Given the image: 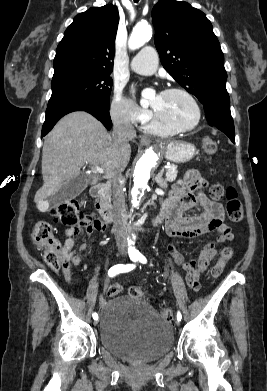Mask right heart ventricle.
<instances>
[{"instance_id":"right-heart-ventricle-1","label":"right heart ventricle","mask_w":267,"mask_h":391,"mask_svg":"<svg viewBox=\"0 0 267 391\" xmlns=\"http://www.w3.org/2000/svg\"><path fill=\"white\" fill-rule=\"evenodd\" d=\"M148 129L151 132L156 133V134L161 135V136H168V135L173 134L171 131H168V130H165L163 128H160V127L156 126L154 123L149 125Z\"/></svg>"}]
</instances>
